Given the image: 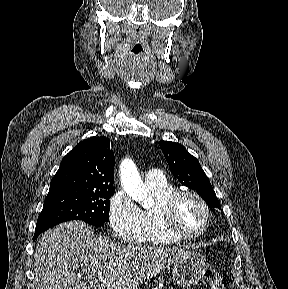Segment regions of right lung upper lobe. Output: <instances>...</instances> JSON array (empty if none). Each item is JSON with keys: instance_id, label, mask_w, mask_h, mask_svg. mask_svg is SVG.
<instances>
[{"instance_id": "obj_1", "label": "right lung upper lobe", "mask_w": 288, "mask_h": 289, "mask_svg": "<svg viewBox=\"0 0 288 289\" xmlns=\"http://www.w3.org/2000/svg\"><path fill=\"white\" fill-rule=\"evenodd\" d=\"M114 153L106 137L81 141L61 161L50 183V190L78 189L85 191L113 188Z\"/></svg>"}]
</instances>
